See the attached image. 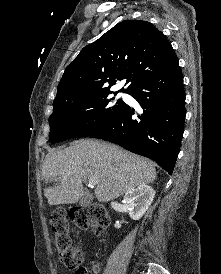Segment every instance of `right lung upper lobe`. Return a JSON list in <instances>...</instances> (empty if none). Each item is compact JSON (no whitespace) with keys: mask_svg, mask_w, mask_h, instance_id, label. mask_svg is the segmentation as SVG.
<instances>
[{"mask_svg":"<svg viewBox=\"0 0 221 274\" xmlns=\"http://www.w3.org/2000/svg\"><path fill=\"white\" fill-rule=\"evenodd\" d=\"M177 60L172 45L154 25L141 20L122 21L84 47L68 65L53 104L112 93L110 87L125 78L129 86L122 91L129 93Z\"/></svg>","mask_w":221,"mask_h":274,"instance_id":"cb5924a9","label":"right lung upper lobe"}]
</instances>
